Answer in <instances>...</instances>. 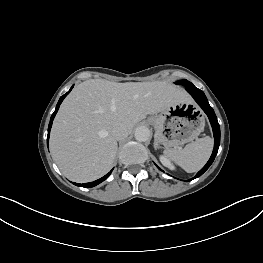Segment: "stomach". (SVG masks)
I'll return each instance as SVG.
<instances>
[{"label": "stomach", "mask_w": 263, "mask_h": 263, "mask_svg": "<svg viewBox=\"0 0 263 263\" xmlns=\"http://www.w3.org/2000/svg\"><path fill=\"white\" fill-rule=\"evenodd\" d=\"M148 122L154 126L155 141L167 148L193 141L205 126L204 116L189 99L149 117Z\"/></svg>", "instance_id": "stomach-1"}]
</instances>
